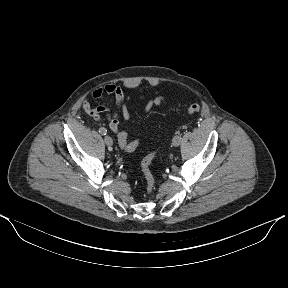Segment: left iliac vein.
Listing matches in <instances>:
<instances>
[{
    "label": "left iliac vein",
    "instance_id": "1",
    "mask_svg": "<svg viewBox=\"0 0 288 288\" xmlns=\"http://www.w3.org/2000/svg\"><path fill=\"white\" fill-rule=\"evenodd\" d=\"M180 142H181V138H178L176 135L173 137L172 139V144L173 146L177 147L180 145Z\"/></svg>",
    "mask_w": 288,
    "mask_h": 288
}]
</instances>
